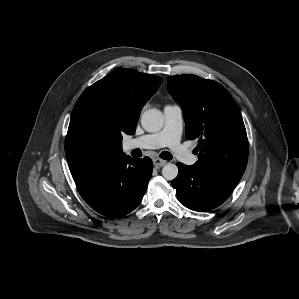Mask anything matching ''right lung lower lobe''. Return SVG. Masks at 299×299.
<instances>
[{"label":"right lung lower lobe","instance_id":"obj_1","mask_svg":"<svg viewBox=\"0 0 299 299\" xmlns=\"http://www.w3.org/2000/svg\"><path fill=\"white\" fill-rule=\"evenodd\" d=\"M77 189L94 210L119 217L141 202L152 175L149 157L131 158L125 154L107 157L93 164H69Z\"/></svg>","mask_w":299,"mask_h":299}]
</instances>
